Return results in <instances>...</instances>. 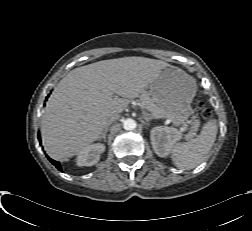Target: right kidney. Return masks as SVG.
Returning a JSON list of instances; mask_svg holds the SVG:
<instances>
[{
    "mask_svg": "<svg viewBox=\"0 0 252 231\" xmlns=\"http://www.w3.org/2000/svg\"><path fill=\"white\" fill-rule=\"evenodd\" d=\"M105 146L100 143L92 144L80 151L76 158L78 166H93L100 160V155L104 152Z\"/></svg>",
    "mask_w": 252,
    "mask_h": 231,
    "instance_id": "1",
    "label": "right kidney"
}]
</instances>
